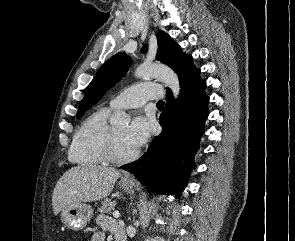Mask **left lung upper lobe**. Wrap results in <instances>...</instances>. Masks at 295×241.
Masks as SVG:
<instances>
[{
  "label": "left lung upper lobe",
  "mask_w": 295,
  "mask_h": 241,
  "mask_svg": "<svg viewBox=\"0 0 295 241\" xmlns=\"http://www.w3.org/2000/svg\"><path fill=\"white\" fill-rule=\"evenodd\" d=\"M158 50L156 59L173 69L181 87L193 75L199 72L192 64V57L183 53L180 46L164 31L157 34ZM143 51H146L144 46ZM131 59L125 53H117L106 61L88 85L85 96L79 104L77 118L97 103L105 92L113 87L128 71ZM169 90V89H168Z\"/></svg>",
  "instance_id": "left-lung-upper-lobe-1"
}]
</instances>
